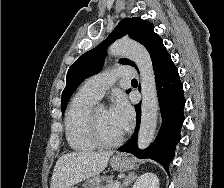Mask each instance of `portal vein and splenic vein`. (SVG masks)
Segmentation results:
<instances>
[{"instance_id": "obj_1", "label": "portal vein and splenic vein", "mask_w": 224, "mask_h": 188, "mask_svg": "<svg viewBox=\"0 0 224 188\" xmlns=\"http://www.w3.org/2000/svg\"><path fill=\"white\" fill-rule=\"evenodd\" d=\"M119 186H120V182L116 181L114 184L108 185L107 188H119Z\"/></svg>"}]
</instances>
